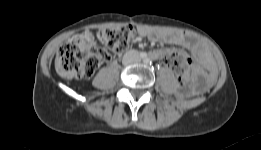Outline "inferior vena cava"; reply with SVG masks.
<instances>
[{
  "label": "inferior vena cava",
  "instance_id": "obj_1",
  "mask_svg": "<svg viewBox=\"0 0 261 150\" xmlns=\"http://www.w3.org/2000/svg\"><path fill=\"white\" fill-rule=\"evenodd\" d=\"M123 59H124V63L126 64L138 62L140 60L139 53L136 50H129L124 55Z\"/></svg>",
  "mask_w": 261,
  "mask_h": 150
}]
</instances>
